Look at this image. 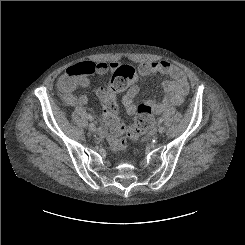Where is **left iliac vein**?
<instances>
[{
    "label": "left iliac vein",
    "instance_id": "obj_1",
    "mask_svg": "<svg viewBox=\"0 0 245 245\" xmlns=\"http://www.w3.org/2000/svg\"><path fill=\"white\" fill-rule=\"evenodd\" d=\"M164 131H165V127L164 126H159V128H158V132L159 133H164Z\"/></svg>",
    "mask_w": 245,
    "mask_h": 245
}]
</instances>
